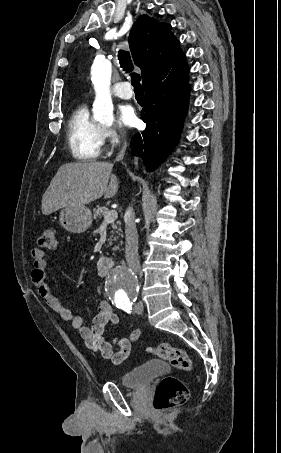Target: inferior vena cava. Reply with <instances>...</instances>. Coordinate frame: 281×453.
Here are the masks:
<instances>
[{
  "label": "inferior vena cava",
  "instance_id": "obj_1",
  "mask_svg": "<svg viewBox=\"0 0 281 453\" xmlns=\"http://www.w3.org/2000/svg\"><path fill=\"white\" fill-rule=\"evenodd\" d=\"M126 150V140H123V146L118 152V156L116 160H121L125 154ZM125 220V235H126V243H125V253H126V261L132 269L133 273L137 275L139 273V257H138V233L136 229V222H135V212H133V208L129 206L125 212L124 216Z\"/></svg>",
  "mask_w": 281,
  "mask_h": 453
}]
</instances>
